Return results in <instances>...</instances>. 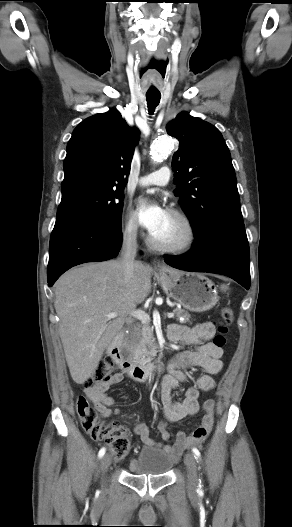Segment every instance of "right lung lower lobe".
<instances>
[{"instance_id": "obj_1", "label": "right lung lower lobe", "mask_w": 292, "mask_h": 527, "mask_svg": "<svg viewBox=\"0 0 292 527\" xmlns=\"http://www.w3.org/2000/svg\"><path fill=\"white\" fill-rule=\"evenodd\" d=\"M121 244V229L87 216H57L50 238L48 286L73 266L116 257Z\"/></svg>"}]
</instances>
